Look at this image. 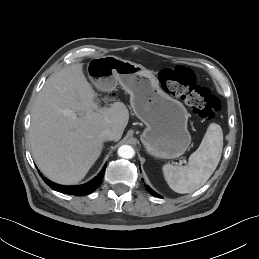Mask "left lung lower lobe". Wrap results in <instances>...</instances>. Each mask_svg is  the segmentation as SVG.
I'll list each match as a JSON object with an SVG mask.
<instances>
[{
  "label": "left lung lower lobe",
  "mask_w": 259,
  "mask_h": 259,
  "mask_svg": "<svg viewBox=\"0 0 259 259\" xmlns=\"http://www.w3.org/2000/svg\"><path fill=\"white\" fill-rule=\"evenodd\" d=\"M145 187L153 196H156V197H159V198L161 197L155 191H153L148 185H145Z\"/></svg>",
  "instance_id": "0a47b994"
}]
</instances>
